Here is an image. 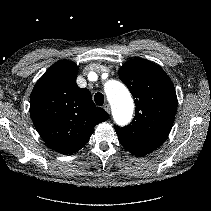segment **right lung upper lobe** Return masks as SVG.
Returning <instances> with one entry per match:
<instances>
[{"label": "right lung upper lobe", "mask_w": 211, "mask_h": 211, "mask_svg": "<svg viewBox=\"0 0 211 211\" xmlns=\"http://www.w3.org/2000/svg\"><path fill=\"white\" fill-rule=\"evenodd\" d=\"M77 73L74 62H56L37 81L30 97V114L38 133L50 148L65 155L80 150L95 125L109 118L95 106L89 90L77 86Z\"/></svg>", "instance_id": "1"}]
</instances>
